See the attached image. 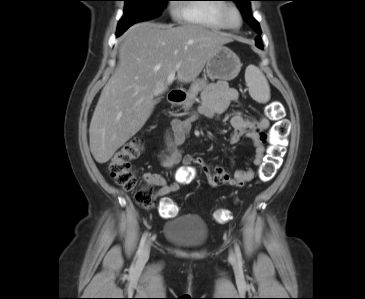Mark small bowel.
I'll return each mask as SVG.
<instances>
[{"mask_svg": "<svg viewBox=\"0 0 365 299\" xmlns=\"http://www.w3.org/2000/svg\"><path fill=\"white\" fill-rule=\"evenodd\" d=\"M237 99L238 92L236 89L228 87L223 82L210 84L203 92L202 104L198 107L196 113L190 115L187 119L176 118L172 121L166 137V150L159 154V159L162 166L167 169H171L180 163H182V166L172 182H169L158 173L148 172L144 174L145 182L158 187L157 197L163 198L177 192L186 180L191 179L196 167L202 171L208 183L214 187L220 185L242 187L254 178V171L251 168L239 169L231 174L223 167H210L200 158L189 155L183 156L181 150V146L190 133L192 121L198 117H216ZM230 123L233 127L230 142L236 144L242 138H248L255 147L253 164L260 165L266 153L265 131L269 127V120L265 117L245 118L240 114H234L230 119Z\"/></svg>", "mask_w": 365, "mask_h": 299, "instance_id": "c3829d8e", "label": "small bowel"}]
</instances>
